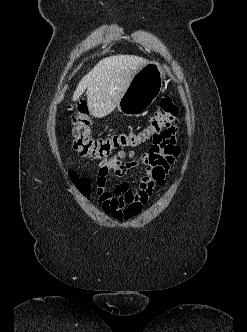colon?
I'll use <instances>...</instances> for the list:
<instances>
[{"label": "colon", "instance_id": "obj_1", "mask_svg": "<svg viewBox=\"0 0 247 332\" xmlns=\"http://www.w3.org/2000/svg\"><path fill=\"white\" fill-rule=\"evenodd\" d=\"M178 108L173 98L164 96L156 111L149 119L148 125L141 132L113 133L104 137H94L91 132V120L87 104L80 100L70 108V122L73 125V148L83 157L92 159L108 158L115 152L138 147L146 140L152 139L153 146L163 145L176 133ZM78 189L88 195L90 182L76 179Z\"/></svg>", "mask_w": 247, "mask_h": 332}]
</instances>
